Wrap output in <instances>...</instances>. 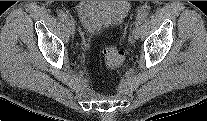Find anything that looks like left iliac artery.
I'll return each instance as SVG.
<instances>
[{"instance_id": "left-iliac-artery-1", "label": "left iliac artery", "mask_w": 207, "mask_h": 121, "mask_svg": "<svg viewBox=\"0 0 207 121\" xmlns=\"http://www.w3.org/2000/svg\"><path fill=\"white\" fill-rule=\"evenodd\" d=\"M149 12L146 9H142L138 12L136 22H142L148 17Z\"/></svg>"}]
</instances>
